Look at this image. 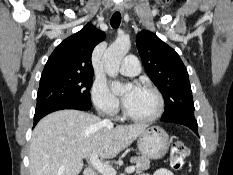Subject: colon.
I'll return each mask as SVG.
<instances>
[{
    "label": "colon",
    "mask_w": 233,
    "mask_h": 175,
    "mask_svg": "<svg viewBox=\"0 0 233 175\" xmlns=\"http://www.w3.org/2000/svg\"><path fill=\"white\" fill-rule=\"evenodd\" d=\"M188 154L189 148L183 141L173 142L170 150L171 167L176 171H181Z\"/></svg>",
    "instance_id": "colon-1"
}]
</instances>
